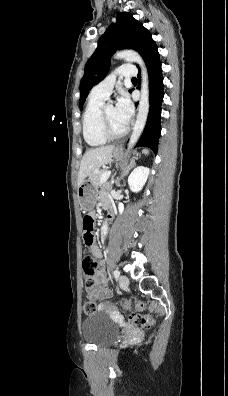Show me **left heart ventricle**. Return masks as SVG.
<instances>
[{"label":"left heart ventricle","mask_w":228,"mask_h":396,"mask_svg":"<svg viewBox=\"0 0 228 396\" xmlns=\"http://www.w3.org/2000/svg\"><path fill=\"white\" fill-rule=\"evenodd\" d=\"M107 120L110 128L114 132L122 131L126 125H124L117 117L115 106L108 104L106 108Z\"/></svg>","instance_id":"obj_1"}]
</instances>
